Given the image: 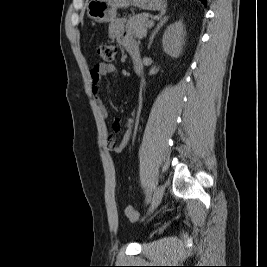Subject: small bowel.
I'll use <instances>...</instances> for the list:
<instances>
[{
    "instance_id": "obj_1",
    "label": "small bowel",
    "mask_w": 267,
    "mask_h": 267,
    "mask_svg": "<svg viewBox=\"0 0 267 267\" xmlns=\"http://www.w3.org/2000/svg\"><path fill=\"white\" fill-rule=\"evenodd\" d=\"M109 36L120 43L133 60L140 59V50L137 42L125 31L123 21L115 19L109 25ZM116 67L113 64L98 63L91 72L92 94L95 99V103L101 116L106 119L108 117V111L104 106L101 98L99 97V84L102 77L106 75H116ZM136 119L134 117L126 119L124 122L118 117L114 119L112 124L113 133H111L106 141L107 148L113 153L119 154L126 148L132 130L135 126ZM123 130V135L119 141H116L115 134Z\"/></svg>"
}]
</instances>
